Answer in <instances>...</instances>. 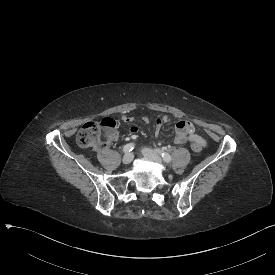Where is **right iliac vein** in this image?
Returning <instances> with one entry per match:
<instances>
[{"mask_svg":"<svg viewBox=\"0 0 275 275\" xmlns=\"http://www.w3.org/2000/svg\"><path fill=\"white\" fill-rule=\"evenodd\" d=\"M133 158L134 156L132 153L125 154L122 158V162L123 164L128 165L133 161Z\"/></svg>","mask_w":275,"mask_h":275,"instance_id":"obj_1","label":"right iliac vein"}]
</instances>
